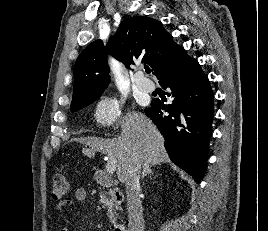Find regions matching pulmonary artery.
<instances>
[{
    "instance_id": "1",
    "label": "pulmonary artery",
    "mask_w": 268,
    "mask_h": 231,
    "mask_svg": "<svg viewBox=\"0 0 268 231\" xmlns=\"http://www.w3.org/2000/svg\"><path fill=\"white\" fill-rule=\"evenodd\" d=\"M136 87L140 92L148 93L154 88L153 83L146 77L143 76L142 72H139L134 78Z\"/></svg>"
}]
</instances>
